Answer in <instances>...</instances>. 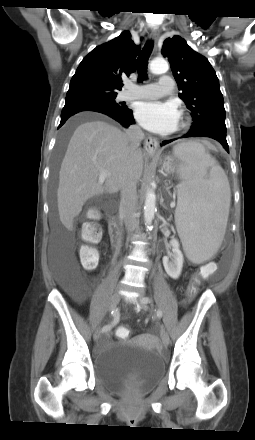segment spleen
<instances>
[{
    "label": "spleen",
    "mask_w": 255,
    "mask_h": 440,
    "mask_svg": "<svg viewBox=\"0 0 255 440\" xmlns=\"http://www.w3.org/2000/svg\"><path fill=\"white\" fill-rule=\"evenodd\" d=\"M183 162L178 189L175 223L187 257L194 263L210 259L223 240L231 191L227 176L200 143H183L174 148Z\"/></svg>",
    "instance_id": "1"
}]
</instances>
